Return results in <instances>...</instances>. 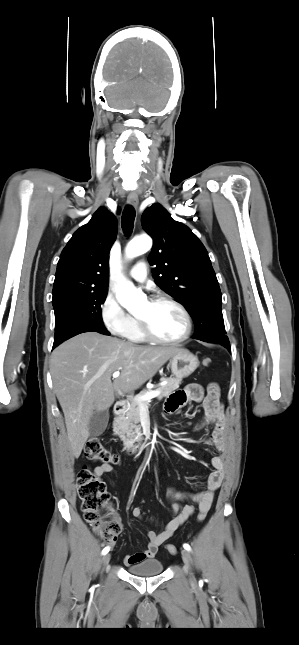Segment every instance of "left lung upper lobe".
I'll use <instances>...</instances> for the list:
<instances>
[{"instance_id": "left-lung-upper-lobe-1", "label": "left lung upper lobe", "mask_w": 299, "mask_h": 645, "mask_svg": "<svg viewBox=\"0 0 299 645\" xmlns=\"http://www.w3.org/2000/svg\"><path fill=\"white\" fill-rule=\"evenodd\" d=\"M141 223L154 240L148 261L156 266L152 271L156 283L187 309L195 323L193 338L226 336L222 294L201 241L160 204L147 208Z\"/></svg>"}]
</instances>
